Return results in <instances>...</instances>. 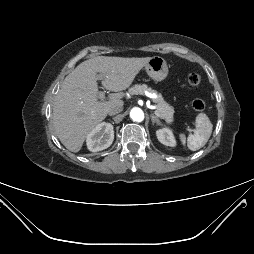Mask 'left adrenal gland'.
<instances>
[{"label": "left adrenal gland", "mask_w": 254, "mask_h": 254, "mask_svg": "<svg viewBox=\"0 0 254 254\" xmlns=\"http://www.w3.org/2000/svg\"><path fill=\"white\" fill-rule=\"evenodd\" d=\"M150 117L153 124L156 123L157 125H162L157 116H155L154 114H151Z\"/></svg>", "instance_id": "left-adrenal-gland-1"}]
</instances>
